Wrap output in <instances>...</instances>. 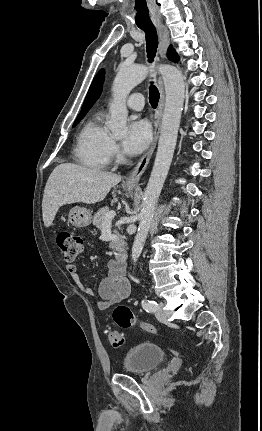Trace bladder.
I'll return each instance as SVG.
<instances>
[{"label":"bladder","instance_id":"bladder-1","mask_svg":"<svg viewBox=\"0 0 262 431\" xmlns=\"http://www.w3.org/2000/svg\"><path fill=\"white\" fill-rule=\"evenodd\" d=\"M166 358L165 351L149 340L134 343L123 358V369L130 374H146Z\"/></svg>","mask_w":262,"mask_h":431}]
</instances>
